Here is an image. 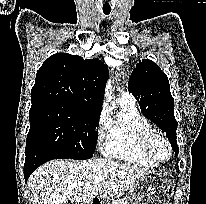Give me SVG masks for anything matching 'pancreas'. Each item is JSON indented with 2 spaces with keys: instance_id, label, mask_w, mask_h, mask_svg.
I'll use <instances>...</instances> for the list:
<instances>
[{
  "instance_id": "1",
  "label": "pancreas",
  "mask_w": 206,
  "mask_h": 204,
  "mask_svg": "<svg viewBox=\"0 0 206 204\" xmlns=\"http://www.w3.org/2000/svg\"><path fill=\"white\" fill-rule=\"evenodd\" d=\"M107 204H123V203H122V200H116V201H113L112 203H107Z\"/></svg>"
}]
</instances>
